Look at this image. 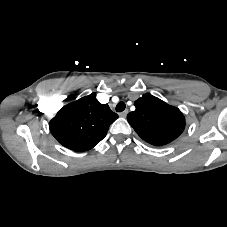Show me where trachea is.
Listing matches in <instances>:
<instances>
[{
	"label": "trachea",
	"instance_id": "1",
	"mask_svg": "<svg viewBox=\"0 0 227 227\" xmlns=\"http://www.w3.org/2000/svg\"><path fill=\"white\" fill-rule=\"evenodd\" d=\"M126 105L124 102H119L117 105H116V111L117 112H122L124 111Z\"/></svg>",
	"mask_w": 227,
	"mask_h": 227
}]
</instances>
